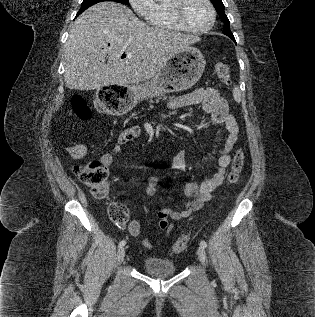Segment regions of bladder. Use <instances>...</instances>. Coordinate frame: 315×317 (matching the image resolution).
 <instances>
[{
    "instance_id": "31cf9c89",
    "label": "bladder",
    "mask_w": 315,
    "mask_h": 317,
    "mask_svg": "<svg viewBox=\"0 0 315 317\" xmlns=\"http://www.w3.org/2000/svg\"><path fill=\"white\" fill-rule=\"evenodd\" d=\"M142 269L149 275L156 277H168L176 273L174 262L161 258L148 257L143 260Z\"/></svg>"
}]
</instances>
